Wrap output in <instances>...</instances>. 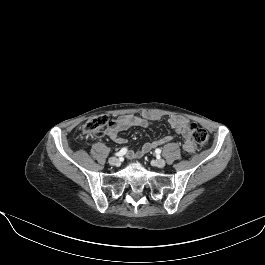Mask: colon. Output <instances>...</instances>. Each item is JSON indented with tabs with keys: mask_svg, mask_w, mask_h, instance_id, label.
I'll return each mask as SVG.
<instances>
[{
	"mask_svg": "<svg viewBox=\"0 0 265 265\" xmlns=\"http://www.w3.org/2000/svg\"><path fill=\"white\" fill-rule=\"evenodd\" d=\"M111 121L107 116H97L85 123L83 132L88 137L102 136L103 129L111 125ZM192 137L199 146H207L209 144V135L205 129L199 127L197 124L190 125Z\"/></svg>",
	"mask_w": 265,
	"mask_h": 265,
	"instance_id": "5ec220e1",
	"label": "colon"
}]
</instances>
